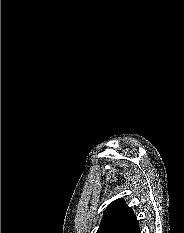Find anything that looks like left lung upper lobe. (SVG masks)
Returning <instances> with one entry per match:
<instances>
[{"instance_id":"5c2ea615","label":"left lung upper lobe","mask_w":184,"mask_h":233,"mask_svg":"<svg viewBox=\"0 0 184 233\" xmlns=\"http://www.w3.org/2000/svg\"><path fill=\"white\" fill-rule=\"evenodd\" d=\"M96 233H141V231L132 208L119 198L105 209Z\"/></svg>"}]
</instances>
